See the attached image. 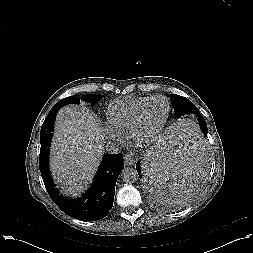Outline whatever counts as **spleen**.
I'll use <instances>...</instances> for the list:
<instances>
[{"label":"spleen","instance_id":"spleen-1","mask_svg":"<svg viewBox=\"0 0 253 253\" xmlns=\"http://www.w3.org/2000/svg\"><path fill=\"white\" fill-rule=\"evenodd\" d=\"M207 165L208 154L199 128L191 121L179 120L147 158L142 184L158 201L180 204L202 187Z\"/></svg>","mask_w":253,"mask_h":253}]
</instances>
